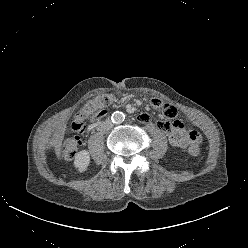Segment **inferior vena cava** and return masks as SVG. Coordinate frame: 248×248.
I'll return each mask as SVG.
<instances>
[{
	"label": "inferior vena cava",
	"mask_w": 248,
	"mask_h": 248,
	"mask_svg": "<svg viewBox=\"0 0 248 248\" xmlns=\"http://www.w3.org/2000/svg\"><path fill=\"white\" fill-rule=\"evenodd\" d=\"M112 126H113L112 122L110 120H107L101 124L100 129L109 130L112 128Z\"/></svg>",
	"instance_id": "inferior-vena-cava-1"
}]
</instances>
